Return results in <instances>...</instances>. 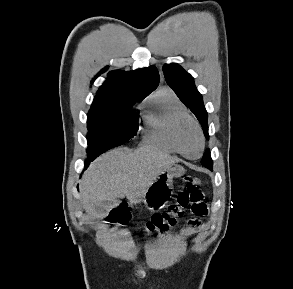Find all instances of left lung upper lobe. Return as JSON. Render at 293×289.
I'll list each match as a JSON object with an SVG mask.
<instances>
[{
    "label": "left lung upper lobe",
    "instance_id": "obj_1",
    "mask_svg": "<svg viewBox=\"0 0 293 289\" xmlns=\"http://www.w3.org/2000/svg\"><path fill=\"white\" fill-rule=\"evenodd\" d=\"M163 73L167 84L173 89L179 99L195 114L199 120L206 138L208 135L207 111L203 104L202 95L197 91L194 78L178 64H165ZM201 164L209 169L213 167L210 151L207 150Z\"/></svg>",
    "mask_w": 293,
    "mask_h": 289
}]
</instances>
